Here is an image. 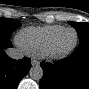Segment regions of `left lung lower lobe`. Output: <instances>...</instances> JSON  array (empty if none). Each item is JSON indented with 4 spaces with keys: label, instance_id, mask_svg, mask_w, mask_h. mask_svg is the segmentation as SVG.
Listing matches in <instances>:
<instances>
[{
    "label": "left lung lower lobe",
    "instance_id": "1",
    "mask_svg": "<svg viewBox=\"0 0 89 89\" xmlns=\"http://www.w3.org/2000/svg\"><path fill=\"white\" fill-rule=\"evenodd\" d=\"M40 66V89H89V39H81L71 56Z\"/></svg>",
    "mask_w": 89,
    "mask_h": 89
}]
</instances>
